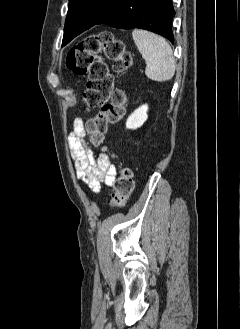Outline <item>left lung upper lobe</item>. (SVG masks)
Here are the masks:
<instances>
[{
    "instance_id": "left-lung-upper-lobe-1",
    "label": "left lung upper lobe",
    "mask_w": 240,
    "mask_h": 329,
    "mask_svg": "<svg viewBox=\"0 0 240 329\" xmlns=\"http://www.w3.org/2000/svg\"><path fill=\"white\" fill-rule=\"evenodd\" d=\"M120 0H70L64 27L62 46L94 26Z\"/></svg>"
}]
</instances>
